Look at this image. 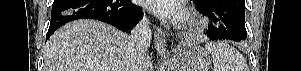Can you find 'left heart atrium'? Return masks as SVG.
I'll use <instances>...</instances> for the list:
<instances>
[{"mask_svg":"<svg viewBox=\"0 0 301 71\" xmlns=\"http://www.w3.org/2000/svg\"><path fill=\"white\" fill-rule=\"evenodd\" d=\"M143 5L159 16L175 23H181L185 19V9L177 0H144Z\"/></svg>","mask_w":301,"mask_h":71,"instance_id":"left-heart-atrium-1","label":"left heart atrium"}]
</instances>
